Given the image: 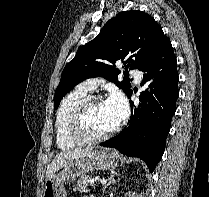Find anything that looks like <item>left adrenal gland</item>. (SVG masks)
<instances>
[{"mask_svg": "<svg viewBox=\"0 0 209 197\" xmlns=\"http://www.w3.org/2000/svg\"><path fill=\"white\" fill-rule=\"evenodd\" d=\"M117 175V173H113L109 178H108V182L107 184L103 187V192H105V190L108 188V186H110V184L115 182L114 177Z\"/></svg>", "mask_w": 209, "mask_h": 197, "instance_id": "a2214340", "label": "left adrenal gland"}]
</instances>
